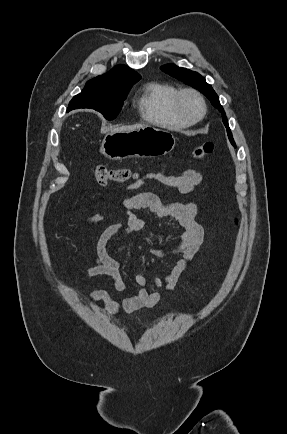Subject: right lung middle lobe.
Returning <instances> with one entry per match:
<instances>
[{"mask_svg": "<svg viewBox=\"0 0 287 434\" xmlns=\"http://www.w3.org/2000/svg\"><path fill=\"white\" fill-rule=\"evenodd\" d=\"M135 82L114 83L108 81L90 80L83 91L69 103V110L91 108L112 120L120 112L127 94Z\"/></svg>", "mask_w": 287, "mask_h": 434, "instance_id": "obj_1", "label": "right lung middle lobe"}]
</instances>
